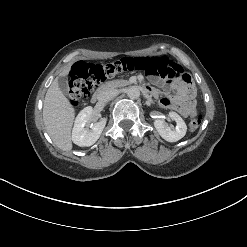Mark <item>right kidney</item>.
Wrapping results in <instances>:
<instances>
[{"instance_id":"1","label":"right kidney","mask_w":247,"mask_h":247,"mask_svg":"<svg viewBox=\"0 0 247 247\" xmlns=\"http://www.w3.org/2000/svg\"><path fill=\"white\" fill-rule=\"evenodd\" d=\"M93 120V109L91 106L85 107L79 112L72 131V141L74 144L81 147H88L99 139L106 125V118H101L99 122L92 124V130L89 131L85 126Z\"/></svg>"}]
</instances>
